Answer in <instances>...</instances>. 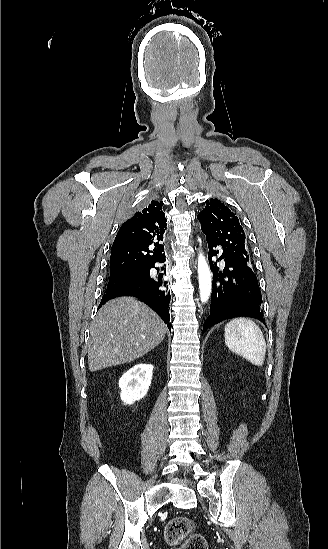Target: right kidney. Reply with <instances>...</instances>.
<instances>
[{"instance_id":"obj_1","label":"right kidney","mask_w":328,"mask_h":549,"mask_svg":"<svg viewBox=\"0 0 328 549\" xmlns=\"http://www.w3.org/2000/svg\"><path fill=\"white\" fill-rule=\"evenodd\" d=\"M152 371V365L139 363V365H135L122 375L119 387L121 389V399L126 405H132L134 401H140L147 395L151 385Z\"/></svg>"}]
</instances>
